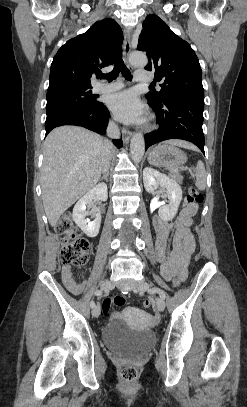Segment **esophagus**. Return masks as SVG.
<instances>
[{"mask_svg":"<svg viewBox=\"0 0 247 407\" xmlns=\"http://www.w3.org/2000/svg\"><path fill=\"white\" fill-rule=\"evenodd\" d=\"M124 52H123V57H124V61L127 64V66L129 67L130 70H133V66L129 63V55L131 52V30L130 29H124ZM122 135H123V141L125 144H127L132 136V132L127 130V129H123L122 131Z\"/></svg>","mask_w":247,"mask_h":407,"instance_id":"esophagus-1","label":"esophagus"}]
</instances>
